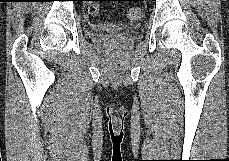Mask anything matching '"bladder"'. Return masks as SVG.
<instances>
[{"label": "bladder", "mask_w": 229, "mask_h": 161, "mask_svg": "<svg viewBox=\"0 0 229 161\" xmlns=\"http://www.w3.org/2000/svg\"><path fill=\"white\" fill-rule=\"evenodd\" d=\"M92 30L95 33L121 32V31L132 33L134 31V26L120 24L115 21H109V22H104V23L93 24Z\"/></svg>", "instance_id": "1"}]
</instances>
